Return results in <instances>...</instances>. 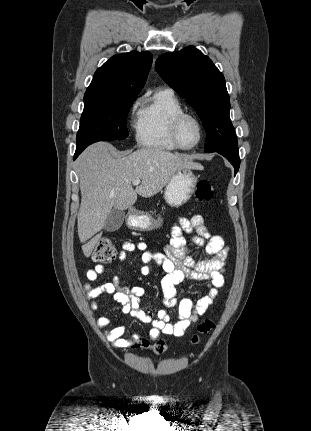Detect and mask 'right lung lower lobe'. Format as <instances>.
Returning a JSON list of instances; mask_svg holds the SVG:
<instances>
[{
    "instance_id": "1",
    "label": "right lung lower lobe",
    "mask_w": 311,
    "mask_h": 431,
    "mask_svg": "<svg viewBox=\"0 0 311 431\" xmlns=\"http://www.w3.org/2000/svg\"><path fill=\"white\" fill-rule=\"evenodd\" d=\"M89 145L88 144L77 145L76 152H75V155H74V159H76V157Z\"/></svg>"
}]
</instances>
